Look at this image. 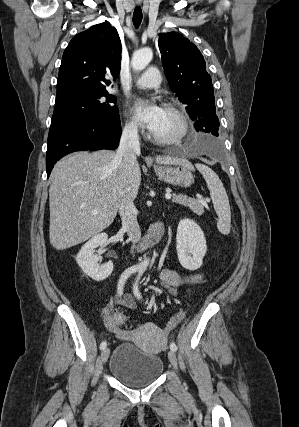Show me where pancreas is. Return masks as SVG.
<instances>
[{
    "label": "pancreas",
    "instance_id": "pancreas-1",
    "mask_svg": "<svg viewBox=\"0 0 299 427\" xmlns=\"http://www.w3.org/2000/svg\"><path fill=\"white\" fill-rule=\"evenodd\" d=\"M172 201L177 204L188 207L197 215H202L204 213L205 203L201 199L188 198L187 196L182 194H173Z\"/></svg>",
    "mask_w": 299,
    "mask_h": 427
}]
</instances>
